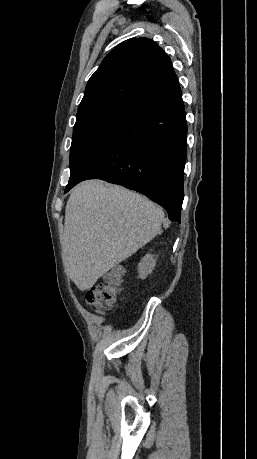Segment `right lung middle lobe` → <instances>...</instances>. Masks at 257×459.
Here are the masks:
<instances>
[{"label": "right lung middle lobe", "instance_id": "dd1d6c3e", "mask_svg": "<svg viewBox=\"0 0 257 459\" xmlns=\"http://www.w3.org/2000/svg\"><path fill=\"white\" fill-rule=\"evenodd\" d=\"M136 110L111 106L78 116L70 151V177L110 142L121 126Z\"/></svg>", "mask_w": 257, "mask_h": 459}]
</instances>
